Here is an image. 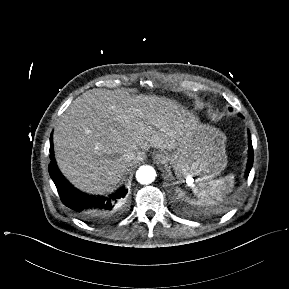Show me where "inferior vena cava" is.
Returning <instances> with one entry per match:
<instances>
[{
	"mask_svg": "<svg viewBox=\"0 0 289 289\" xmlns=\"http://www.w3.org/2000/svg\"><path fill=\"white\" fill-rule=\"evenodd\" d=\"M142 160V156L140 155V153H128L125 155V161L131 166L139 161Z\"/></svg>",
	"mask_w": 289,
	"mask_h": 289,
	"instance_id": "602c4592",
	"label": "inferior vena cava"
}]
</instances>
